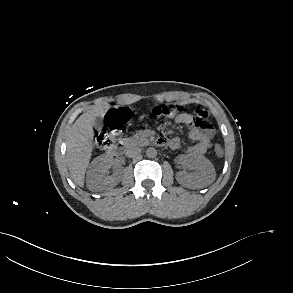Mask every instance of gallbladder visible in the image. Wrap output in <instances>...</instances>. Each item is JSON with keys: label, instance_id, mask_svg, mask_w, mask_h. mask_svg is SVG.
<instances>
[{"label": "gallbladder", "instance_id": "gallbladder-1", "mask_svg": "<svg viewBox=\"0 0 293 293\" xmlns=\"http://www.w3.org/2000/svg\"><path fill=\"white\" fill-rule=\"evenodd\" d=\"M103 115H104V111H101V112H99L98 115H96L94 117L93 124H94L95 128L102 129V127H103Z\"/></svg>", "mask_w": 293, "mask_h": 293}]
</instances>
